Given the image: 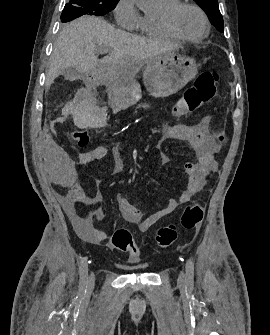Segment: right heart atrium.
<instances>
[{
    "mask_svg": "<svg viewBox=\"0 0 270 335\" xmlns=\"http://www.w3.org/2000/svg\"><path fill=\"white\" fill-rule=\"evenodd\" d=\"M114 15L117 24L127 30L136 29L141 17L135 0H119L114 9Z\"/></svg>",
    "mask_w": 270,
    "mask_h": 335,
    "instance_id": "right-heart-atrium-1",
    "label": "right heart atrium"
}]
</instances>
